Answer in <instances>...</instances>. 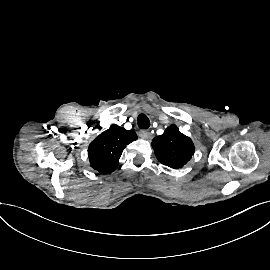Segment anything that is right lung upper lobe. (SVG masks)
<instances>
[{
	"instance_id": "1",
	"label": "right lung upper lobe",
	"mask_w": 270,
	"mask_h": 270,
	"mask_svg": "<svg viewBox=\"0 0 270 270\" xmlns=\"http://www.w3.org/2000/svg\"><path fill=\"white\" fill-rule=\"evenodd\" d=\"M137 139L136 133L118 125L101 133L88 148V157L93 169L101 174L112 173L119 164V159L126 145Z\"/></svg>"
}]
</instances>
